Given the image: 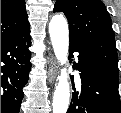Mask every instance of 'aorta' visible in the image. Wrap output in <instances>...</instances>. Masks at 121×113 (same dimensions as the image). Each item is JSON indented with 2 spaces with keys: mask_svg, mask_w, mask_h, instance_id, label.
Here are the masks:
<instances>
[{
  "mask_svg": "<svg viewBox=\"0 0 121 113\" xmlns=\"http://www.w3.org/2000/svg\"><path fill=\"white\" fill-rule=\"evenodd\" d=\"M49 33L53 50L61 65L67 63L69 46V30L65 17L61 14L54 15L49 23ZM53 96V113H66L69 106L70 87L66 68L61 70Z\"/></svg>",
  "mask_w": 121,
  "mask_h": 113,
  "instance_id": "1",
  "label": "aorta"
}]
</instances>
